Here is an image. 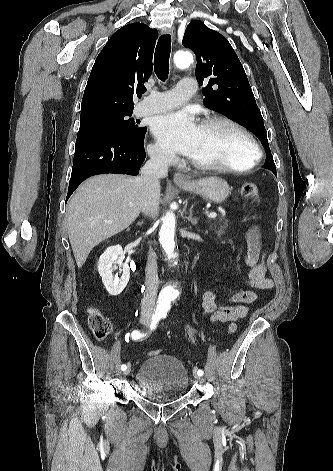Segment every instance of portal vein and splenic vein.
<instances>
[{"mask_svg": "<svg viewBox=\"0 0 333 471\" xmlns=\"http://www.w3.org/2000/svg\"><path fill=\"white\" fill-rule=\"evenodd\" d=\"M207 217L210 218V219H214V218L217 217V213L211 212V213L207 214Z\"/></svg>", "mask_w": 333, "mask_h": 471, "instance_id": "18ae733b", "label": "portal vein and splenic vein"}]
</instances>
